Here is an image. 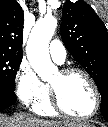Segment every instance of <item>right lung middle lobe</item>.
<instances>
[{
	"label": "right lung middle lobe",
	"mask_w": 108,
	"mask_h": 127,
	"mask_svg": "<svg viewBox=\"0 0 108 127\" xmlns=\"http://www.w3.org/2000/svg\"><path fill=\"white\" fill-rule=\"evenodd\" d=\"M21 61V55L0 52V87L14 91L15 76Z\"/></svg>",
	"instance_id": "dd1d6c3e"
}]
</instances>
